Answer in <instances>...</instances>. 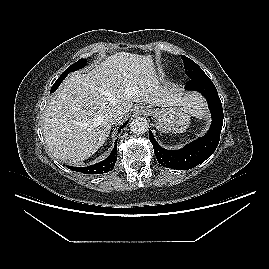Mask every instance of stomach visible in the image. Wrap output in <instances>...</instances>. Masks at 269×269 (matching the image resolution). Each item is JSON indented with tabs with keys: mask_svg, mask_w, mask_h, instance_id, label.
<instances>
[{
	"mask_svg": "<svg viewBox=\"0 0 269 269\" xmlns=\"http://www.w3.org/2000/svg\"><path fill=\"white\" fill-rule=\"evenodd\" d=\"M147 113L156 118V127L163 133L185 132L190 124V113L182 107H170L159 110L145 106Z\"/></svg>",
	"mask_w": 269,
	"mask_h": 269,
	"instance_id": "0dacf381",
	"label": "stomach"
}]
</instances>
